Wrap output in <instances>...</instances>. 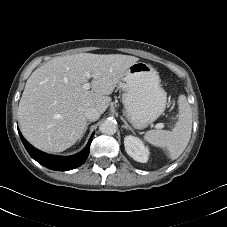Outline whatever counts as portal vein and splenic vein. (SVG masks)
I'll return each mask as SVG.
<instances>
[{"label":"portal vein and splenic vein","mask_w":227,"mask_h":227,"mask_svg":"<svg viewBox=\"0 0 227 227\" xmlns=\"http://www.w3.org/2000/svg\"><path fill=\"white\" fill-rule=\"evenodd\" d=\"M85 76H86L88 79L91 78V74H90L89 72H86ZM90 87H91V84H90L89 82H87V83H85V84L83 85V89H84V90H89ZM163 127H164V124H163V123H157V124L155 125V128H157V129L163 128Z\"/></svg>","instance_id":"18ae733b"}]
</instances>
